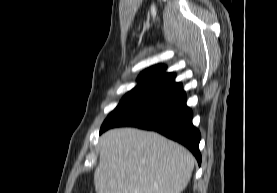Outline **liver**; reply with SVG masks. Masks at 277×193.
Instances as JSON below:
<instances>
[{
    "label": "liver",
    "mask_w": 277,
    "mask_h": 193,
    "mask_svg": "<svg viewBox=\"0 0 277 193\" xmlns=\"http://www.w3.org/2000/svg\"><path fill=\"white\" fill-rule=\"evenodd\" d=\"M99 149L96 193H181L195 164L180 144L135 128L105 132Z\"/></svg>",
    "instance_id": "obj_1"
}]
</instances>
